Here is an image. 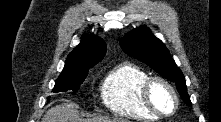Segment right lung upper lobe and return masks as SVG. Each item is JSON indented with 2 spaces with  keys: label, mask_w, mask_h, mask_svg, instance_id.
Returning a JSON list of instances; mask_svg holds the SVG:
<instances>
[{
  "label": "right lung upper lobe",
  "mask_w": 221,
  "mask_h": 122,
  "mask_svg": "<svg viewBox=\"0 0 221 122\" xmlns=\"http://www.w3.org/2000/svg\"><path fill=\"white\" fill-rule=\"evenodd\" d=\"M106 51L102 39L92 35H83L80 44L68 55L62 72L89 70L100 61Z\"/></svg>",
  "instance_id": "1"
}]
</instances>
